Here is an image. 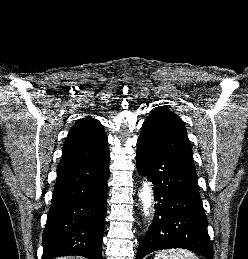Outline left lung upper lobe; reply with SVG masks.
Listing matches in <instances>:
<instances>
[{
	"label": "left lung upper lobe",
	"mask_w": 248,
	"mask_h": 259,
	"mask_svg": "<svg viewBox=\"0 0 248 259\" xmlns=\"http://www.w3.org/2000/svg\"><path fill=\"white\" fill-rule=\"evenodd\" d=\"M138 140L152 149L167 154L196 173L184 123L172 111L164 107L154 109L143 123Z\"/></svg>",
	"instance_id": "5c2ea615"
}]
</instances>
